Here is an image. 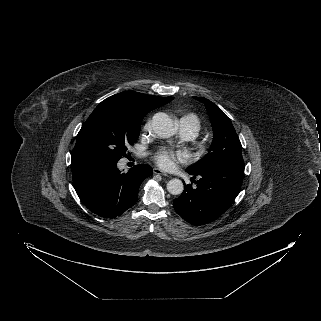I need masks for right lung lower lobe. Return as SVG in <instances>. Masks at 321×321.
<instances>
[{
    "label": "right lung lower lobe",
    "mask_w": 321,
    "mask_h": 321,
    "mask_svg": "<svg viewBox=\"0 0 321 321\" xmlns=\"http://www.w3.org/2000/svg\"><path fill=\"white\" fill-rule=\"evenodd\" d=\"M153 173L141 164L121 173L117 163L81 162L72 164L73 185L82 203L93 213L115 218L132 207L142 181Z\"/></svg>",
    "instance_id": "98d812e1"
}]
</instances>
